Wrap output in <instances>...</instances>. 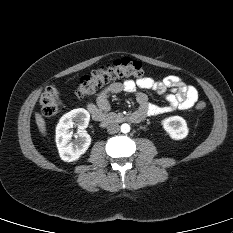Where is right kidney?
I'll use <instances>...</instances> for the list:
<instances>
[{"label": "right kidney", "instance_id": "1", "mask_svg": "<svg viewBox=\"0 0 233 233\" xmlns=\"http://www.w3.org/2000/svg\"><path fill=\"white\" fill-rule=\"evenodd\" d=\"M90 114L83 108L73 109L64 114L56 126V145L61 159L65 162L78 160L91 144L90 135L84 131L88 127ZM76 125L78 135L72 141L73 133L69 129Z\"/></svg>", "mask_w": 233, "mask_h": 233}]
</instances>
